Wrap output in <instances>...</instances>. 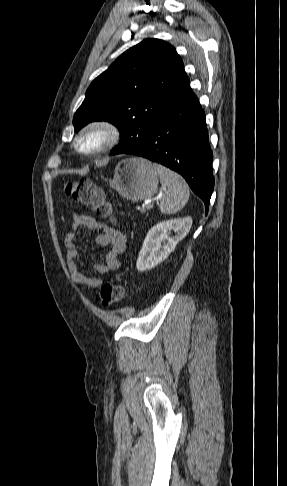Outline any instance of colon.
Returning a JSON list of instances; mask_svg holds the SVG:
<instances>
[{
	"label": "colon",
	"mask_w": 287,
	"mask_h": 486,
	"mask_svg": "<svg viewBox=\"0 0 287 486\" xmlns=\"http://www.w3.org/2000/svg\"><path fill=\"white\" fill-rule=\"evenodd\" d=\"M63 192L74 201L87 207L101 217H109L112 213L111 205L105 197L104 190L89 179L66 182L62 185ZM125 294V288L120 283L104 284L99 297L104 306L120 302Z\"/></svg>",
	"instance_id": "1"
}]
</instances>
